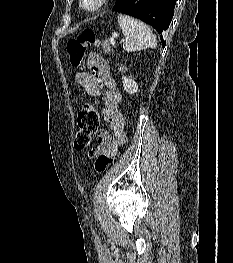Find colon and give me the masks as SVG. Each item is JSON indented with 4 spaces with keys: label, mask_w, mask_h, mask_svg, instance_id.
I'll return each mask as SVG.
<instances>
[{
    "label": "colon",
    "mask_w": 233,
    "mask_h": 263,
    "mask_svg": "<svg viewBox=\"0 0 233 263\" xmlns=\"http://www.w3.org/2000/svg\"><path fill=\"white\" fill-rule=\"evenodd\" d=\"M98 39L94 32L89 29L83 30L77 37L67 43V52L70 63L73 67H80L83 63L86 48L90 45H96ZM100 124V115L91 105L85 104L77 116V131L74 138V146L77 150L88 148L93 135L98 131ZM116 155H100L95 161L94 168L96 172H103L111 165Z\"/></svg>",
    "instance_id": "obj_1"
}]
</instances>
